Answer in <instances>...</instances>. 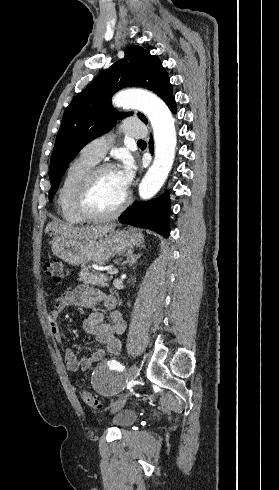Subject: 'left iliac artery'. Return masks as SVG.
Returning <instances> with one entry per match:
<instances>
[{
  "instance_id": "44dca946",
  "label": "left iliac artery",
  "mask_w": 279,
  "mask_h": 490,
  "mask_svg": "<svg viewBox=\"0 0 279 490\" xmlns=\"http://www.w3.org/2000/svg\"><path fill=\"white\" fill-rule=\"evenodd\" d=\"M111 369H116L117 371H123L125 369V366L115 360L109 361V364Z\"/></svg>"
}]
</instances>
